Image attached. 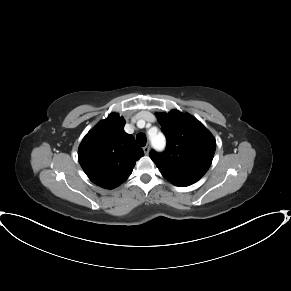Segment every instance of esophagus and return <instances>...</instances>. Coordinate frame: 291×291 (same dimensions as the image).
Here are the masks:
<instances>
[{
  "mask_svg": "<svg viewBox=\"0 0 291 291\" xmlns=\"http://www.w3.org/2000/svg\"><path fill=\"white\" fill-rule=\"evenodd\" d=\"M143 151H144V153H145L146 155H148V153H149V151H150L149 146H148V145L145 146V147L143 148Z\"/></svg>",
  "mask_w": 291,
  "mask_h": 291,
  "instance_id": "obj_1",
  "label": "esophagus"
}]
</instances>
